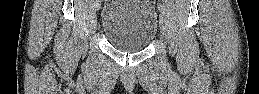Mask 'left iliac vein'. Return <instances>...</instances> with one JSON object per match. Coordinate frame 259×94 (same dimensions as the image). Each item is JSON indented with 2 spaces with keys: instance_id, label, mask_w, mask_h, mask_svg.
I'll use <instances>...</instances> for the list:
<instances>
[{
  "instance_id": "1",
  "label": "left iliac vein",
  "mask_w": 259,
  "mask_h": 94,
  "mask_svg": "<svg viewBox=\"0 0 259 94\" xmlns=\"http://www.w3.org/2000/svg\"><path fill=\"white\" fill-rule=\"evenodd\" d=\"M159 23H160L161 32L165 36L166 35V30H167V17H166L165 12H161L160 13Z\"/></svg>"
}]
</instances>
